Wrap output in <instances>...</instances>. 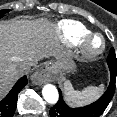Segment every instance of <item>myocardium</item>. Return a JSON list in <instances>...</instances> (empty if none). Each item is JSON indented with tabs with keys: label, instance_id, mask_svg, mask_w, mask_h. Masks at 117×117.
I'll return each instance as SVG.
<instances>
[{
	"label": "myocardium",
	"instance_id": "myocardium-1",
	"mask_svg": "<svg viewBox=\"0 0 117 117\" xmlns=\"http://www.w3.org/2000/svg\"><path fill=\"white\" fill-rule=\"evenodd\" d=\"M95 38H99L101 43L98 48H92L91 43ZM105 39L101 34L90 33L85 36L79 43V54L83 59L91 60L98 57L105 50Z\"/></svg>",
	"mask_w": 117,
	"mask_h": 117
}]
</instances>
